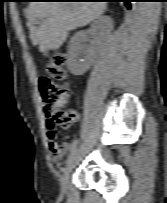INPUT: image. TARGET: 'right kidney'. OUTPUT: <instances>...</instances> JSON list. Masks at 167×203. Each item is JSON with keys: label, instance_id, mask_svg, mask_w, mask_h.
I'll return each mask as SVG.
<instances>
[{"label": "right kidney", "instance_id": "1", "mask_svg": "<svg viewBox=\"0 0 167 203\" xmlns=\"http://www.w3.org/2000/svg\"><path fill=\"white\" fill-rule=\"evenodd\" d=\"M112 28V19L109 16H102L91 25L89 30L75 34L71 39L68 51V69L73 75L84 74L96 59L99 44L94 43L86 49L84 43L87 41V35L99 33L103 38H106Z\"/></svg>", "mask_w": 167, "mask_h": 203}]
</instances>
